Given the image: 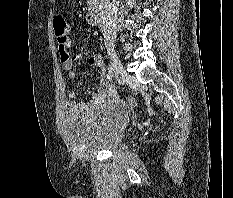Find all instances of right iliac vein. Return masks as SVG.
I'll return each instance as SVG.
<instances>
[{"mask_svg":"<svg viewBox=\"0 0 233 198\" xmlns=\"http://www.w3.org/2000/svg\"><path fill=\"white\" fill-rule=\"evenodd\" d=\"M111 67L118 81L120 83H124L128 77V73L124 69L119 57L115 53L111 54Z\"/></svg>","mask_w":233,"mask_h":198,"instance_id":"obj_1","label":"right iliac vein"}]
</instances>
